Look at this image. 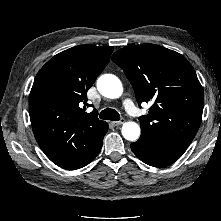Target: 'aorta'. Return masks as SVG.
<instances>
[{
  "label": "aorta",
  "instance_id": "obj_1",
  "mask_svg": "<svg viewBox=\"0 0 221 221\" xmlns=\"http://www.w3.org/2000/svg\"><path fill=\"white\" fill-rule=\"evenodd\" d=\"M97 89L101 95L110 99L119 98L123 93V86L118 77L104 74L97 80ZM126 140L136 141L141 133L140 127L135 122H125L121 129Z\"/></svg>",
  "mask_w": 221,
  "mask_h": 221
}]
</instances>
